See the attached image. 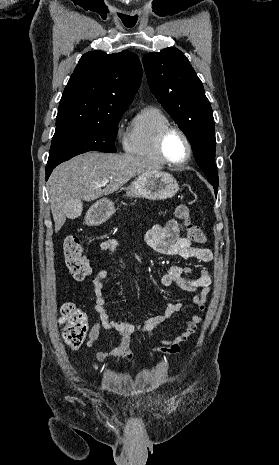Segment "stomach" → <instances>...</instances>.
I'll use <instances>...</instances> for the list:
<instances>
[{"label":"stomach","instance_id":"1","mask_svg":"<svg viewBox=\"0 0 279 465\" xmlns=\"http://www.w3.org/2000/svg\"><path fill=\"white\" fill-rule=\"evenodd\" d=\"M179 190V184L169 173L156 171L139 175L127 188V196L150 200H165L173 197ZM115 212L114 203L103 198L94 203L85 216L88 225L104 223Z\"/></svg>","mask_w":279,"mask_h":465}]
</instances>
